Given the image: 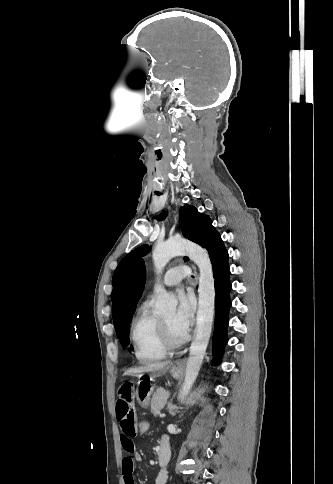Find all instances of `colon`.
Returning a JSON list of instances; mask_svg holds the SVG:
<instances>
[{"mask_svg": "<svg viewBox=\"0 0 333 484\" xmlns=\"http://www.w3.org/2000/svg\"><path fill=\"white\" fill-rule=\"evenodd\" d=\"M151 429V423L147 419H140L137 423V435H146Z\"/></svg>", "mask_w": 333, "mask_h": 484, "instance_id": "1", "label": "colon"}]
</instances>
